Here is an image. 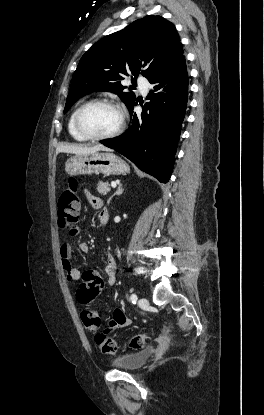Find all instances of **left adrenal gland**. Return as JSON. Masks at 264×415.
Wrapping results in <instances>:
<instances>
[{
	"label": "left adrenal gland",
	"mask_w": 264,
	"mask_h": 415,
	"mask_svg": "<svg viewBox=\"0 0 264 415\" xmlns=\"http://www.w3.org/2000/svg\"><path fill=\"white\" fill-rule=\"evenodd\" d=\"M123 191H124V189L122 188V184H119V186H118V188H117V190H116V192L108 199V203H110V201L112 200V198L115 196V195H121L122 193H123Z\"/></svg>",
	"instance_id": "a2214340"
}]
</instances>
